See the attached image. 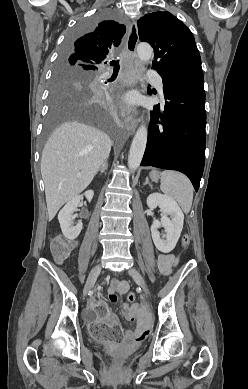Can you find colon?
Segmentation results:
<instances>
[{"instance_id": "colon-1", "label": "colon", "mask_w": 248, "mask_h": 389, "mask_svg": "<svg viewBox=\"0 0 248 389\" xmlns=\"http://www.w3.org/2000/svg\"><path fill=\"white\" fill-rule=\"evenodd\" d=\"M183 243L184 245L188 244L187 236L184 237ZM72 246L73 244L70 241L64 240L61 237H53L51 239V250L58 260L66 258L69 255ZM127 300L130 303H133L135 301V294L133 292L128 293ZM94 311V317L97 318L99 322H90L89 328L91 329L95 340H99L101 344H121L122 334L119 324L117 322H112L108 327L104 324V321L109 317L106 303L104 301H99L97 305L94 306Z\"/></svg>"}]
</instances>
